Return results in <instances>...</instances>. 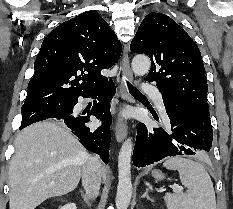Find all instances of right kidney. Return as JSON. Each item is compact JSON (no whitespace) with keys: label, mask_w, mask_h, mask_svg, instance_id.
<instances>
[{"label":"right kidney","mask_w":233,"mask_h":209,"mask_svg":"<svg viewBox=\"0 0 233 209\" xmlns=\"http://www.w3.org/2000/svg\"><path fill=\"white\" fill-rule=\"evenodd\" d=\"M60 209H76V205L74 203L66 204L62 206Z\"/></svg>","instance_id":"1"}]
</instances>
